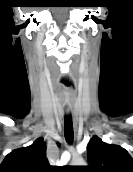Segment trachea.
Here are the masks:
<instances>
[{
  "label": "trachea",
  "instance_id": "trachea-1",
  "mask_svg": "<svg viewBox=\"0 0 133 172\" xmlns=\"http://www.w3.org/2000/svg\"><path fill=\"white\" fill-rule=\"evenodd\" d=\"M73 123L71 115H68L64 119V135L68 143H72L73 137Z\"/></svg>",
  "mask_w": 133,
  "mask_h": 172
}]
</instances>
